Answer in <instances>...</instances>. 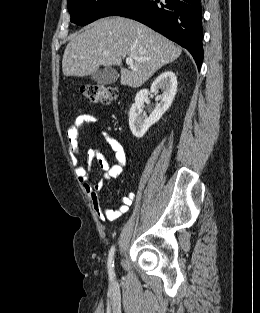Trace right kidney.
<instances>
[{
    "label": "right kidney",
    "mask_w": 260,
    "mask_h": 313,
    "mask_svg": "<svg viewBox=\"0 0 260 313\" xmlns=\"http://www.w3.org/2000/svg\"><path fill=\"white\" fill-rule=\"evenodd\" d=\"M162 91L160 102L154 111L147 117L143 113L145 98L150 93ZM177 91V77L175 73L168 70L161 73L152 83L150 92L143 89L137 93L135 103L129 112V127L132 134L137 138H142L148 129L159 121L162 115L169 109Z\"/></svg>",
    "instance_id": "right-kidney-1"
}]
</instances>
